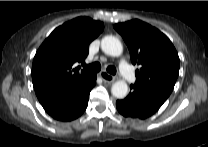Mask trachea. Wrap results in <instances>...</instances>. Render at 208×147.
Here are the masks:
<instances>
[{"label": "trachea", "mask_w": 208, "mask_h": 147, "mask_svg": "<svg viewBox=\"0 0 208 147\" xmlns=\"http://www.w3.org/2000/svg\"><path fill=\"white\" fill-rule=\"evenodd\" d=\"M83 68L87 69L90 72L96 73L101 70V64L99 62H94L92 64L86 65L83 64ZM107 72L115 75L116 74V68L114 66H108L107 67Z\"/></svg>", "instance_id": "obj_1"}]
</instances>
